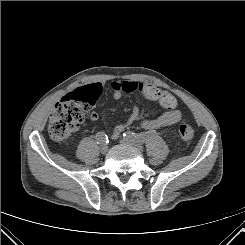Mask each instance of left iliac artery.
<instances>
[{"label":"left iliac artery","mask_w":245,"mask_h":245,"mask_svg":"<svg viewBox=\"0 0 245 245\" xmlns=\"http://www.w3.org/2000/svg\"><path fill=\"white\" fill-rule=\"evenodd\" d=\"M150 136L151 133L135 134L133 132H126L123 134L124 139L141 143V144H143Z\"/></svg>","instance_id":"44dca946"}]
</instances>
